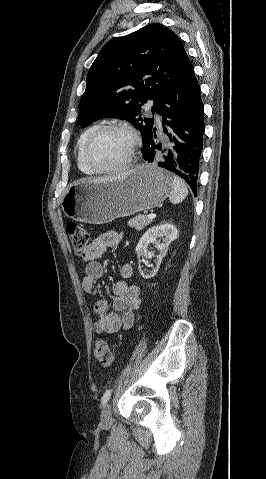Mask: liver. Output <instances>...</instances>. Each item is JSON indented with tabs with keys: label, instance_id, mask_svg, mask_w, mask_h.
Segmentation results:
<instances>
[{
	"label": "liver",
	"instance_id": "6515ba94",
	"mask_svg": "<svg viewBox=\"0 0 266 479\" xmlns=\"http://www.w3.org/2000/svg\"><path fill=\"white\" fill-rule=\"evenodd\" d=\"M128 173H123L117 177H108V178H101V179H96V180H93V181H107V180H113V179H117V178H120V177H124L125 175H127Z\"/></svg>",
	"mask_w": 266,
	"mask_h": 479
}]
</instances>
